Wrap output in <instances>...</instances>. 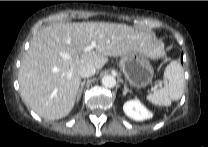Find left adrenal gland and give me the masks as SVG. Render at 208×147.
Returning a JSON list of instances; mask_svg holds the SVG:
<instances>
[{"label":"left adrenal gland","mask_w":208,"mask_h":147,"mask_svg":"<svg viewBox=\"0 0 208 147\" xmlns=\"http://www.w3.org/2000/svg\"><path fill=\"white\" fill-rule=\"evenodd\" d=\"M128 92H130V93H131V90H129V89L127 88V85H126V84H124V91H123V95H124V96H126V94H127Z\"/></svg>","instance_id":"1"}]
</instances>
